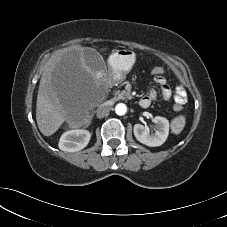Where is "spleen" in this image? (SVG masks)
<instances>
[{
	"instance_id": "spleen-1",
	"label": "spleen",
	"mask_w": 227,
	"mask_h": 227,
	"mask_svg": "<svg viewBox=\"0 0 227 227\" xmlns=\"http://www.w3.org/2000/svg\"><path fill=\"white\" fill-rule=\"evenodd\" d=\"M185 126V117L179 116L176 117L171 124L172 132L175 134H179Z\"/></svg>"
}]
</instances>
